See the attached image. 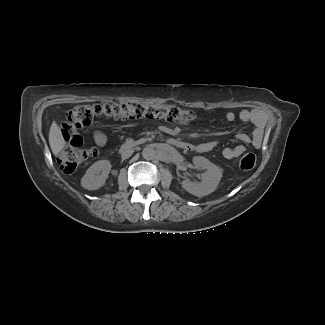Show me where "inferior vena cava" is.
<instances>
[{"label": "inferior vena cava", "instance_id": "1", "mask_svg": "<svg viewBox=\"0 0 325 325\" xmlns=\"http://www.w3.org/2000/svg\"><path fill=\"white\" fill-rule=\"evenodd\" d=\"M131 155H132V151H128V152H125L122 154V158L126 159V158H129Z\"/></svg>", "mask_w": 325, "mask_h": 325}]
</instances>
